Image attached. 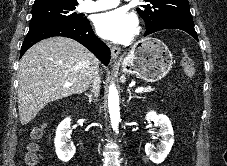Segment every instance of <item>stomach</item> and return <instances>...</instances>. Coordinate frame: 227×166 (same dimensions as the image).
I'll return each mask as SVG.
<instances>
[{
	"mask_svg": "<svg viewBox=\"0 0 227 166\" xmlns=\"http://www.w3.org/2000/svg\"><path fill=\"white\" fill-rule=\"evenodd\" d=\"M172 54L157 38H145L137 42L123 59L121 68L126 74L136 75L146 82L164 78L172 67Z\"/></svg>",
	"mask_w": 227,
	"mask_h": 166,
	"instance_id": "0dacf381",
	"label": "stomach"
}]
</instances>
